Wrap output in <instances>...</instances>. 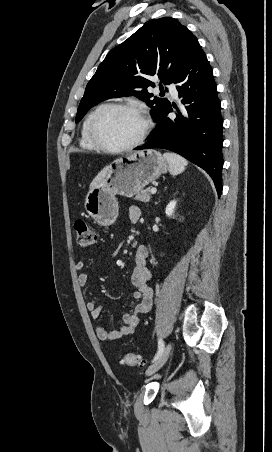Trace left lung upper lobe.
I'll use <instances>...</instances> for the list:
<instances>
[{
  "mask_svg": "<svg viewBox=\"0 0 272 452\" xmlns=\"http://www.w3.org/2000/svg\"><path fill=\"white\" fill-rule=\"evenodd\" d=\"M197 38L171 17L152 20L112 49L86 86L76 122L96 104L113 97L134 95L146 101L156 121L169 104L146 90L152 76L165 85L173 83L188 59ZM162 88V86H160ZM143 88V90H140Z\"/></svg>",
  "mask_w": 272,
  "mask_h": 452,
  "instance_id": "5c2ea615",
  "label": "left lung upper lobe"
}]
</instances>
